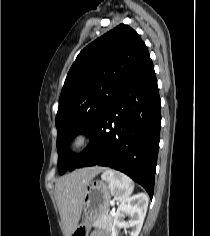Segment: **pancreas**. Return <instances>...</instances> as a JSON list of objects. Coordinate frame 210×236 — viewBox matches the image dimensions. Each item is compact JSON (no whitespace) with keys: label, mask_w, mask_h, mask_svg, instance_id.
Wrapping results in <instances>:
<instances>
[{"label":"pancreas","mask_w":210,"mask_h":236,"mask_svg":"<svg viewBox=\"0 0 210 236\" xmlns=\"http://www.w3.org/2000/svg\"><path fill=\"white\" fill-rule=\"evenodd\" d=\"M113 221H114V216L111 214H108V212L105 211L104 213L101 214V216L99 218H97L94 221L93 225L95 227L109 230L112 227Z\"/></svg>","instance_id":"cf45deb5"}]
</instances>
